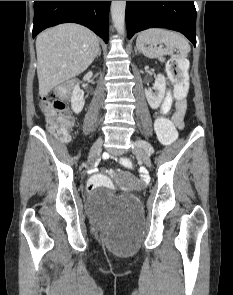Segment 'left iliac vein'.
I'll return each instance as SVG.
<instances>
[{
  "instance_id": "4c4485c4",
  "label": "left iliac vein",
  "mask_w": 233,
  "mask_h": 295,
  "mask_svg": "<svg viewBox=\"0 0 233 295\" xmlns=\"http://www.w3.org/2000/svg\"><path fill=\"white\" fill-rule=\"evenodd\" d=\"M139 141L140 140H137L134 142V147H133L132 151L135 155H137L138 157H140L142 159L143 163L147 167H151L152 164H151L150 156L147 153V151H144V148L140 146V144L138 143Z\"/></svg>"
}]
</instances>
